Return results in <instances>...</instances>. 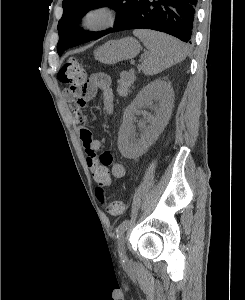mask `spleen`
<instances>
[{"mask_svg": "<svg viewBox=\"0 0 245 300\" xmlns=\"http://www.w3.org/2000/svg\"><path fill=\"white\" fill-rule=\"evenodd\" d=\"M133 34L150 51L142 64L143 72L147 75L157 74L187 56L184 44L174 37L151 30H135Z\"/></svg>", "mask_w": 245, "mask_h": 300, "instance_id": "1", "label": "spleen"}]
</instances>
